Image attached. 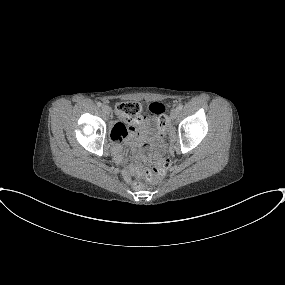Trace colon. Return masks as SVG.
<instances>
[{"label":"colon","instance_id":"1","mask_svg":"<svg viewBox=\"0 0 285 285\" xmlns=\"http://www.w3.org/2000/svg\"><path fill=\"white\" fill-rule=\"evenodd\" d=\"M149 111L155 115L157 119V135L164 138L169 124L164 105L160 102H154L150 104ZM116 115L126 123V129L130 130L132 125L143 116V109L141 104L137 101H125L116 106ZM128 168L132 173L138 174V177L133 181V186L139 188L143 181L152 183L160 181L168 172L170 162L167 158H159L154 162L151 169H139L133 163H129Z\"/></svg>","mask_w":285,"mask_h":285}]
</instances>
